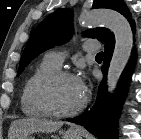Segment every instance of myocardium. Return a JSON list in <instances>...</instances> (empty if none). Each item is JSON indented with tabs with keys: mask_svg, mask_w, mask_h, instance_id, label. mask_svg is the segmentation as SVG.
Returning a JSON list of instances; mask_svg holds the SVG:
<instances>
[{
	"mask_svg": "<svg viewBox=\"0 0 141 139\" xmlns=\"http://www.w3.org/2000/svg\"><path fill=\"white\" fill-rule=\"evenodd\" d=\"M63 78H77L75 74L67 70H57L48 75L39 85L37 90L38 101L48 116L55 118H65L77 115L87 105V96L84 95L82 102L72 110L59 111L52 101V89L54 85Z\"/></svg>",
	"mask_w": 141,
	"mask_h": 139,
	"instance_id": "f54148a6",
	"label": "myocardium"
}]
</instances>
